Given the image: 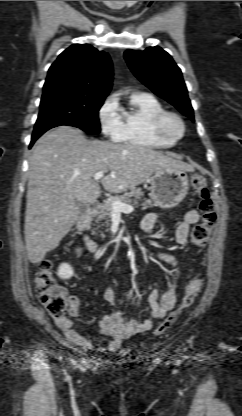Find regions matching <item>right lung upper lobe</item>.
Listing matches in <instances>:
<instances>
[{
    "label": "right lung upper lobe",
    "instance_id": "right-lung-upper-lobe-1",
    "mask_svg": "<svg viewBox=\"0 0 242 416\" xmlns=\"http://www.w3.org/2000/svg\"><path fill=\"white\" fill-rule=\"evenodd\" d=\"M113 78L109 55L89 44H74L49 68L43 96L69 94L105 98Z\"/></svg>",
    "mask_w": 242,
    "mask_h": 416
}]
</instances>
